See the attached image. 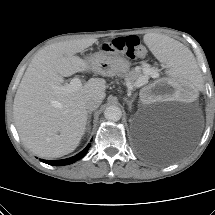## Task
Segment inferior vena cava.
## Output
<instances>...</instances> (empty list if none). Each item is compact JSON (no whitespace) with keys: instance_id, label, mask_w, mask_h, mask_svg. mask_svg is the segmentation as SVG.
<instances>
[{"instance_id":"inferior-vena-cava-1","label":"inferior vena cava","mask_w":215,"mask_h":215,"mask_svg":"<svg viewBox=\"0 0 215 215\" xmlns=\"http://www.w3.org/2000/svg\"><path fill=\"white\" fill-rule=\"evenodd\" d=\"M101 102L102 101L98 98L89 99L85 104V108H86L87 112H92V111L96 110L100 106Z\"/></svg>"}]
</instances>
